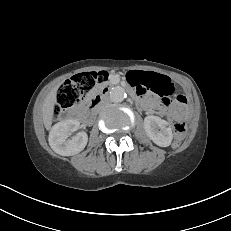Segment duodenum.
<instances>
[{"mask_svg": "<svg viewBox=\"0 0 231 231\" xmlns=\"http://www.w3.org/2000/svg\"><path fill=\"white\" fill-rule=\"evenodd\" d=\"M108 90H109V86L105 85L97 94H95L90 99L88 103V109L86 111L87 114H91V112H93L96 106L102 101L103 97L108 93ZM132 93L137 99H141L140 98L141 94L139 92H132Z\"/></svg>", "mask_w": 231, "mask_h": 231, "instance_id": "obj_1", "label": "duodenum"}]
</instances>
